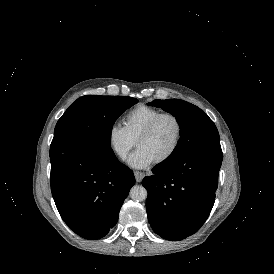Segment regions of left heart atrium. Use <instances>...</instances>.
<instances>
[{"instance_id":"1","label":"left heart atrium","mask_w":274,"mask_h":274,"mask_svg":"<svg viewBox=\"0 0 274 274\" xmlns=\"http://www.w3.org/2000/svg\"><path fill=\"white\" fill-rule=\"evenodd\" d=\"M127 162L134 168H143L153 163L148 153L139 147L128 156Z\"/></svg>"}]
</instances>
